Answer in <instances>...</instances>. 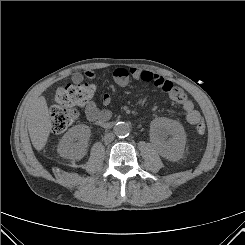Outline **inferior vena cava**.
I'll use <instances>...</instances> for the list:
<instances>
[{
  "label": "inferior vena cava",
  "instance_id": "602c4592",
  "mask_svg": "<svg viewBox=\"0 0 245 245\" xmlns=\"http://www.w3.org/2000/svg\"><path fill=\"white\" fill-rule=\"evenodd\" d=\"M114 138H115V135L113 133H107L104 136V142L106 144L111 143L114 140Z\"/></svg>",
  "mask_w": 245,
  "mask_h": 245
}]
</instances>
